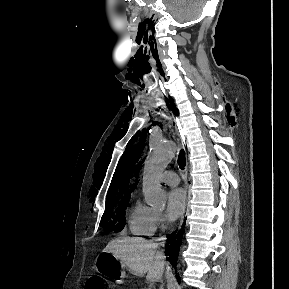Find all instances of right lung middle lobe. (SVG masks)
Wrapping results in <instances>:
<instances>
[{
    "label": "right lung middle lobe",
    "mask_w": 289,
    "mask_h": 289,
    "mask_svg": "<svg viewBox=\"0 0 289 289\" xmlns=\"http://www.w3.org/2000/svg\"><path fill=\"white\" fill-rule=\"evenodd\" d=\"M128 201H124L120 204V206H122V209H120L121 207L119 206L120 211L118 213H120L119 215L116 216V218L112 215V210L114 206L111 207H106L105 208V212L102 216L101 222H100V226H104L106 227L108 230L110 231H121L124 226H125V212L124 210L127 207ZM118 218V220H117ZM118 221V224H117ZM117 224V225H116Z\"/></svg>",
    "instance_id": "right-lung-middle-lobe-1"
}]
</instances>
